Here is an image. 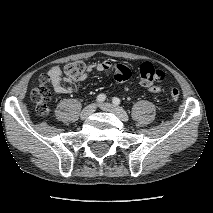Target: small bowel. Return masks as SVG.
I'll return each mask as SVG.
<instances>
[{
	"mask_svg": "<svg viewBox=\"0 0 213 213\" xmlns=\"http://www.w3.org/2000/svg\"><path fill=\"white\" fill-rule=\"evenodd\" d=\"M113 65L104 61L97 64L89 65L88 71H98V72H109L112 71ZM47 82H50L53 91L56 95L68 94L73 91V82L72 80L64 77L63 72L60 67L54 66L52 67L47 76L44 77ZM149 91L151 93H158L160 88L158 86L149 87Z\"/></svg>",
	"mask_w": 213,
	"mask_h": 213,
	"instance_id": "obj_1",
	"label": "small bowel"
}]
</instances>
